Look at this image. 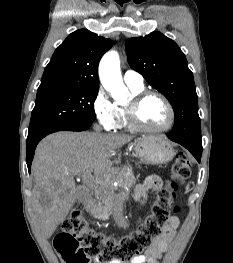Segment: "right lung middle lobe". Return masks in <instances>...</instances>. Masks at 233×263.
Segmentation results:
<instances>
[{"instance_id": "right-lung-middle-lobe-1", "label": "right lung middle lobe", "mask_w": 233, "mask_h": 263, "mask_svg": "<svg viewBox=\"0 0 233 263\" xmlns=\"http://www.w3.org/2000/svg\"><path fill=\"white\" fill-rule=\"evenodd\" d=\"M98 88H71L37 95L27 139L62 125L92 123Z\"/></svg>"}]
</instances>
